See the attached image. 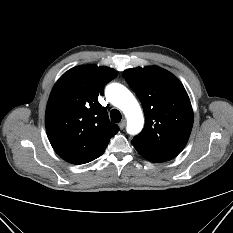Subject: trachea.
<instances>
[{"label": "trachea", "instance_id": "1", "mask_svg": "<svg viewBox=\"0 0 233 233\" xmlns=\"http://www.w3.org/2000/svg\"><path fill=\"white\" fill-rule=\"evenodd\" d=\"M110 118L112 122L118 123L121 121L122 116H121V113L117 109H112L110 111Z\"/></svg>", "mask_w": 233, "mask_h": 233}]
</instances>
